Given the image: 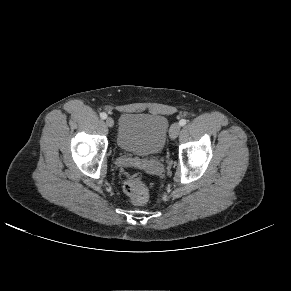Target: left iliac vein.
Segmentation results:
<instances>
[{
	"label": "left iliac vein",
	"mask_w": 291,
	"mask_h": 291,
	"mask_svg": "<svg viewBox=\"0 0 291 291\" xmlns=\"http://www.w3.org/2000/svg\"><path fill=\"white\" fill-rule=\"evenodd\" d=\"M180 129V125L178 123H174L170 129V138L175 139L179 135Z\"/></svg>",
	"instance_id": "4c4485c4"
}]
</instances>
